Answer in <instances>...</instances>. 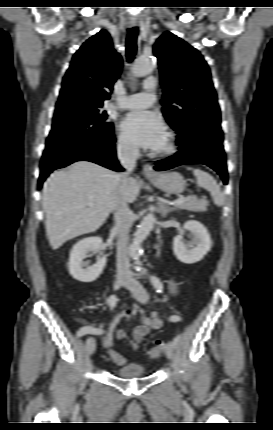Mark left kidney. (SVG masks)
Returning a JSON list of instances; mask_svg holds the SVG:
<instances>
[{
    "label": "left kidney",
    "mask_w": 273,
    "mask_h": 430,
    "mask_svg": "<svg viewBox=\"0 0 273 430\" xmlns=\"http://www.w3.org/2000/svg\"><path fill=\"white\" fill-rule=\"evenodd\" d=\"M184 230L190 231L193 239L185 241L183 233L173 240V251L178 260L186 264L201 261L210 251L212 241L207 228L196 220H189L184 224Z\"/></svg>",
    "instance_id": "left-kidney-1"
}]
</instances>
